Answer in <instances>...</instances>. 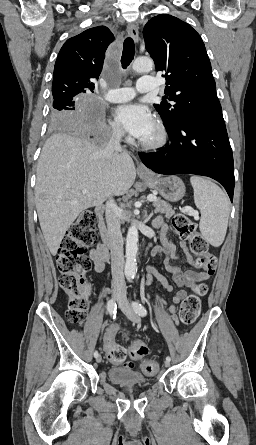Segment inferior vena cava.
<instances>
[{
    "mask_svg": "<svg viewBox=\"0 0 256 445\" xmlns=\"http://www.w3.org/2000/svg\"><path fill=\"white\" fill-rule=\"evenodd\" d=\"M124 131L120 127L113 129L110 141L103 150L106 158L111 159L116 152L121 151L120 140ZM118 207L113 199H109L106 203V223L109 235V247L111 251V271H112V287L119 293L126 292V284L123 274L124 254H123V237L120 228V219L117 215Z\"/></svg>",
    "mask_w": 256,
    "mask_h": 445,
    "instance_id": "602c4592",
    "label": "inferior vena cava"
}]
</instances>
